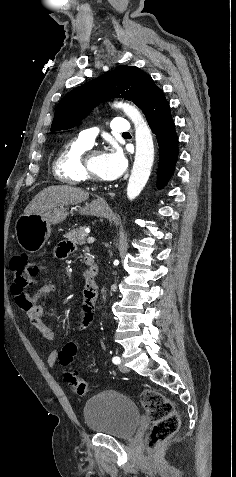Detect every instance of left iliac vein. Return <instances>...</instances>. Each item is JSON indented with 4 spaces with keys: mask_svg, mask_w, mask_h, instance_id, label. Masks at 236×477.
Here are the masks:
<instances>
[{
    "mask_svg": "<svg viewBox=\"0 0 236 477\" xmlns=\"http://www.w3.org/2000/svg\"><path fill=\"white\" fill-rule=\"evenodd\" d=\"M119 370H120L121 372H123V373L129 372V369L125 366L124 362H121V363L119 364Z\"/></svg>",
    "mask_w": 236,
    "mask_h": 477,
    "instance_id": "1",
    "label": "left iliac vein"
}]
</instances>
